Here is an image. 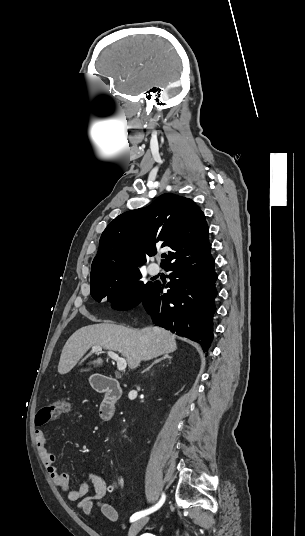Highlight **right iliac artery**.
<instances>
[{"label": "right iliac artery", "instance_id": "obj_1", "mask_svg": "<svg viewBox=\"0 0 305 536\" xmlns=\"http://www.w3.org/2000/svg\"><path fill=\"white\" fill-rule=\"evenodd\" d=\"M164 500H165V495L163 494L162 498L160 499V501L155 506H153L150 509L144 510V511L136 512L135 514H133L131 516L130 521L133 522L135 520L140 519L141 517H144V516L154 512V511H156L157 509H159L162 506V504L164 503Z\"/></svg>", "mask_w": 305, "mask_h": 536}]
</instances>
